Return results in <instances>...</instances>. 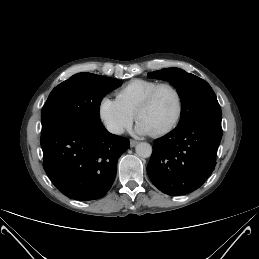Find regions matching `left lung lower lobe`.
<instances>
[{
    "instance_id": "obj_1",
    "label": "left lung lower lobe",
    "mask_w": 259,
    "mask_h": 259,
    "mask_svg": "<svg viewBox=\"0 0 259 259\" xmlns=\"http://www.w3.org/2000/svg\"><path fill=\"white\" fill-rule=\"evenodd\" d=\"M222 137L220 122L193 121L154 141L147 166L152 183L170 196L201 187L213 172Z\"/></svg>"
}]
</instances>
